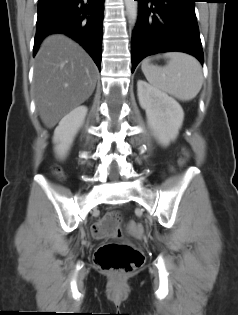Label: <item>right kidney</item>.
I'll return each instance as SVG.
<instances>
[{"label":"right kidney","instance_id":"right-kidney-1","mask_svg":"<svg viewBox=\"0 0 238 315\" xmlns=\"http://www.w3.org/2000/svg\"><path fill=\"white\" fill-rule=\"evenodd\" d=\"M87 111L86 106L76 107L65 115L56 127L53 142L55 153L59 158H64L67 155L76 133L84 122Z\"/></svg>","mask_w":238,"mask_h":315}]
</instances>
